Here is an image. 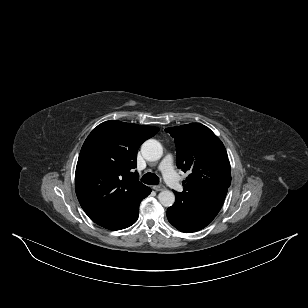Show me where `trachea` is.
<instances>
[{
  "mask_svg": "<svg viewBox=\"0 0 308 308\" xmlns=\"http://www.w3.org/2000/svg\"><path fill=\"white\" fill-rule=\"evenodd\" d=\"M141 181L148 185H158L159 184V177L156 176L154 173H146L141 178Z\"/></svg>",
  "mask_w": 308,
  "mask_h": 308,
  "instance_id": "trachea-1",
  "label": "trachea"
}]
</instances>
